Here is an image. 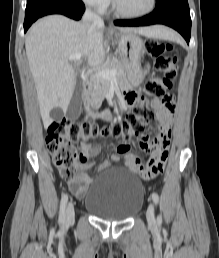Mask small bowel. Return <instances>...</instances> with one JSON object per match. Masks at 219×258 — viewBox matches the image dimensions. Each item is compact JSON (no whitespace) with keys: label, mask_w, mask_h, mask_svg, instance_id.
<instances>
[{"label":"small bowel","mask_w":219,"mask_h":258,"mask_svg":"<svg viewBox=\"0 0 219 258\" xmlns=\"http://www.w3.org/2000/svg\"><path fill=\"white\" fill-rule=\"evenodd\" d=\"M136 95L132 91H128L124 95V102L127 106H132L136 102ZM152 107L156 112V119L159 122V132L153 141L149 138H142L140 145L146 151L151 152L152 156L146 166H143L140 159L130 152L131 145L129 143L121 144L117 147L116 153L112 154L110 159L113 162L119 161V154L123 155V160L126 167L141 175L144 183H155V178H160L164 175V166L168 158V149L171 136V126L173 121V114L175 108V98L172 94H168L162 100H155L152 102ZM152 147H158L152 151ZM160 147H164L163 150ZM84 154L79 161V172L77 175L68 181L70 191L78 198H82L87 193L90 183L93 178L89 177L86 171L95 168L94 162H88L89 155H95L100 151L98 145H89L84 148ZM163 151L165 153H163ZM110 166L108 161L99 164L96 169L102 170Z\"/></svg>","instance_id":"1"}]
</instances>
